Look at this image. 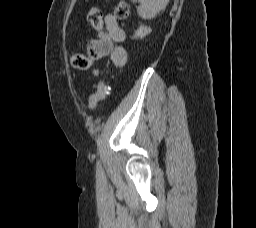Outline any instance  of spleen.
<instances>
[{"label":"spleen","instance_id":"3e777b00","mask_svg":"<svg viewBox=\"0 0 256 228\" xmlns=\"http://www.w3.org/2000/svg\"><path fill=\"white\" fill-rule=\"evenodd\" d=\"M140 5L137 8V12L143 19H152L156 15L164 10L169 0H139ZM133 2H136L133 0Z\"/></svg>","mask_w":256,"mask_h":228}]
</instances>
